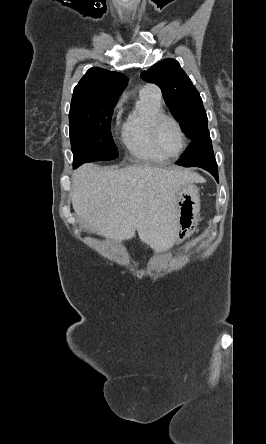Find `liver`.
Masks as SVG:
<instances>
[{"label":"liver","instance_id":"obj_1","mask_svg":"<svg viewBox=\"0 0 266 444\" xmlns=\"http://www.w3.org/2000/svg\"><path fill=\"white\" fill-rule=\"evenodd\" d=\"M199 180L187 169L84 164L73 174L70 196L75 213L93 233L122 241L137 230L142 242L165 251L176 239V194Z\"/></svg>","mask_w":266,"mask_h":444}]
</instances>
